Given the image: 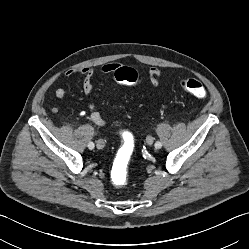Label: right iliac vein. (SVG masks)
<instances>
[{
  "instance_id": "63e3f726",
  "label": "right iliac vein",
  "mask_w": 249,
  "mask_h": 249,
  "mask_svg": "<svg viewBox=\"0 0 249 249\" xmlns=\"http://www.w3.org/2000/svg\"><path fill=\"white\" fill-rule=\"evenodd\" d=\"M104 146H105V143H104L103 140H99V141L97 142V148H98V149H103Z\"/></svg>"
}]
</instances>
